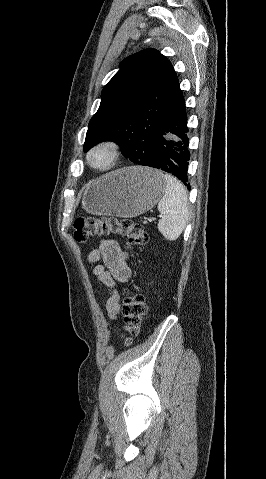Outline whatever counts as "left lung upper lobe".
Instances as JSON below:
<instances>
[{
  "instance_id": "left-lung-upper-lobe-1",
  "label": "left lung upper lobe",
  "mask_w": 266,
  "mask_h": 479,
  "mask_svg": "<svg viewBox=\"0 0 266 479\" xmlns=\"http://www.w3.org/2000/svg\"><path fill=\"white\" fill-rule=\"evenodd\" d=\"M179 91L172 64L156 49L127 57L102 90L100 107L88 125L84 151L109 140L132 162H150L162 120Z\"/></svg>"
}]
</instances>
